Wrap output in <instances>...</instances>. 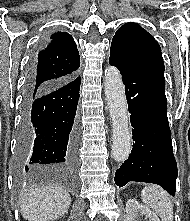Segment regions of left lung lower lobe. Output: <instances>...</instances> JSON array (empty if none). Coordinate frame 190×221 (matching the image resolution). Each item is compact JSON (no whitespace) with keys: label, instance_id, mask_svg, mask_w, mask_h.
<instances>
[{"label":"left lung lower lobe","instance_id":"1","mask_svg":"<svg viewBox=\"0 0 190 221\" xmlns=\"http://www.w3.org/2000/svg\"><path fill=\"white\" fill-rule=\"evenodd\" d=\"M110 64L122 75L134 140L129 158L115 173V183L119 187L129 181L154 183L174 196L177 165L172 151L164 78L126 70L112 60Z\"/></svg>","mask_w":190,"mask_h":221}]
</instances>
